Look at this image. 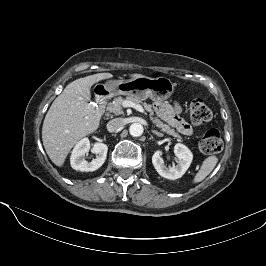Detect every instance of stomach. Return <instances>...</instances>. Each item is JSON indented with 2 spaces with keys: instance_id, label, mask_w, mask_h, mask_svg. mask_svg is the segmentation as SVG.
I'll use <instances>...</instances> for the list:
<instances>
[{
  "instance_id": "stomach-1",
  "label": "stomach",
  "mask_w": 266,
  "mask_h": 266,
  "mask_svg": "<svg viewBox=\"0 0 266 266\" xmlns=\"http://www.w3.org/2000/svg\"><path fill=\"white\" fill-rule=\"evenodd\" d=\"M105 89L110 94L133 96L139 100L150 98L154 102L168 99L174 92V83L166 77L141 76L130 80L109 81Z\"/></svg>"
}]
</instances>
